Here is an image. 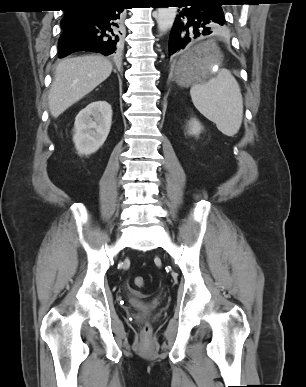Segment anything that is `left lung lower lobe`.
Masks as SVG:
<instances>
[{
	"mask_svg": "<svg viewBox=\"0 0 306 387\" xmlns=\"http://www.w3.org/2000/svg\"><path fill=\"white\" fill-rule=\"evenodd\" d=\"M182 4L171 29L169 54L177 53L195 38L212 33V27L224 25L221 1L216 0H172Z\"/></svg>",
	"mask_w": 306,
	"mask_h": 387,
	"instance_id": "0a47b994",
	"label": "left lung lower lobe"
}]
</instances>
